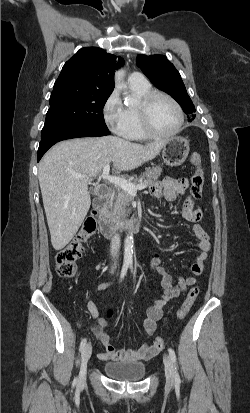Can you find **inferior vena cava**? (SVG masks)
Wrapping results in <instances>:
<instances>
[{
	"label": "inferior vena cava",
	"mask_w": 250,
	"mask_h": 413,
	"mask_svg": "<svg viewBox=\"0 0 250 413\" xmlns=\"http://www.w3.org/2000/svg\"><path fill=\"white\" fill-rule=\"evenodd\" d=\"M120 249V236L115 234L111 240V255L115 258L118 256Z\"/></svg>",
	"instance_id": "obj_1"
}]
</instances>
